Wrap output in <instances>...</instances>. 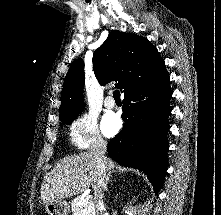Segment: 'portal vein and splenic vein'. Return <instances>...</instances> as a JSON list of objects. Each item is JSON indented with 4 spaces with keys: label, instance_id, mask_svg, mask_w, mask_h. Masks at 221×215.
Segmentation results:
<instances>
[{
    "label": "portal vein and splenic vein",
    "instance_id": "18ae733b",
    "mask_svg": "<svg viewBox=\"0 0 221 215\" xmlns=\"http://www.w3.org/2000/svg\"><path fill=\"white\" fill-rule=\"evenodd\" d=\"M91 198H92L91 195H87L83 201H84L85 203L90 202V201H91Z\"/></svg>",
    "mask_w": 221,
    "mask_h": 215
}]
</instances>
